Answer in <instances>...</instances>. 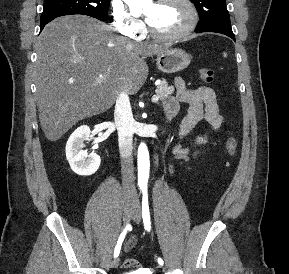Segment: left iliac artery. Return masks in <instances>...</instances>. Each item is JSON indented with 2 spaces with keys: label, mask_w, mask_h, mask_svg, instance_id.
<instances>
[{
  "label": "left iliac artery",
  "mask_w": 289,
  "mask_h": 274,
  "mask_svg": "<svg viewBox=\"0 0 289 274\" xmlns=\"http://www.w3.org/2000/svg\"><path fill=\"white\" fill-rule=\"evenodd\" d=\"M143 197H142V218H143V223L144 227L147 231L151 230V221H150V212H149V205H148V194H147V189L143 188L142 189ZM158 263L160 265H163L164 262L162 258H158Z\"/></svg>",
  "instance_id": "44dca946"
}]
</instances>
